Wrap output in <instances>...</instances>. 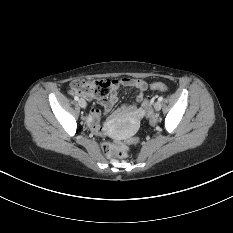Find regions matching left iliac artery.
Segmentation results:
<instances>
[{"label": "left iliac artery", "instance_id": "left-iliac-artery-1", "mask_svg": "<svg viewBox=\"0 0 233 233\" xmlns=\"http://www.w3.org/2000/svg\"><path fill=\"white\" fill-rule=\"evenodd\" d=\"M163 100V97L162 96H160L159 98H158V101H162Z\"/></svg>", "mask_w": 233, "mask_h": 233}]
</instances>
